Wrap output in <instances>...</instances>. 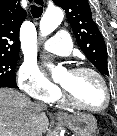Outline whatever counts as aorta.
<instances>
[{
    "mask_svg": "<svg viewBox=\"0 0 117 136\" xmlns=\"http://www.w3.org/2000/svg\"><path fill=\"white\" fill-rule=\"evenodd\" d=\"M64 13L60 8L48 9L40 20V32L42 36L51 34L62 22ZM52 74L55 77L61 70L60 67H52Z\"/></svg>",
    "mask_w": 117,
    "mask_h": 136,
    "instance_id": "obj_1",
    "label": "aorta"
}]
</instances>
